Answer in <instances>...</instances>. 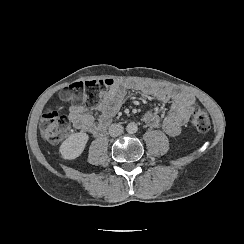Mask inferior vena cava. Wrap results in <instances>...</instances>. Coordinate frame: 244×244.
Listing matches in <instances>:
<instances>
[{
  "instance_id": "obj_1",
  "label": "inferior vena cava",
  "mask_w": 244,
  "mask_h": 244,
  "mask_svg": "<svg viewBox=\"0 0 244 244\" xmlns=\"http://www.w3.org/2000/svg\"><path fill=\"white\" fill-rule=\"evenodd\" d=\"M123 126L121 124H112L109 127V134L112 137H117L123 133Z\"/></svg>"
}]
</instances>
